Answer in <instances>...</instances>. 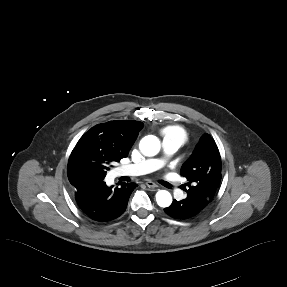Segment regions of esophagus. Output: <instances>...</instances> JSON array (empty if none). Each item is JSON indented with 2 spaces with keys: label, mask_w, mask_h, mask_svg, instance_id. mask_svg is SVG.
Masks as SVG:
<instances>
[{
  "label": "esophagus",
  "mask_w": 287,
  "mask_h": 287,
  "mask_svg": "<svg viewBox=\"0 0 287 287\" xmlns=\"http://www.w3.org/2000/svg\"><path fill=\"white\" fill-rule=\"evenodd\" d=\"M146 186L149 187V188H153V189H156L158 186L152 182V181H147L146 182Z\"/></svg>",
  "instance_id": "obj_1"
}]
</instances>
